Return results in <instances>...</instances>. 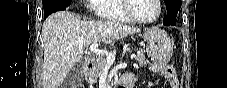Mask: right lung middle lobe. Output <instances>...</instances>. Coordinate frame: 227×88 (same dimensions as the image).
Here are the masks:
<instances>
[{
    "mask_svg": "<svg viewBox=\"0 0 227 88\" xmlns=\"http://www.w3.org/2000/svg\"><path fill=\"white\" fill-rule=\"evenodd\" d=\"M42 2L44 18L48 17L53 12L65 10L71 4V0H42Z\"/></svg>",
    "mask_w": 227,
    "mask_h": 88,
    "instance_id": "1",
    "label": "right lung middle lobe"
}]
</instances>
